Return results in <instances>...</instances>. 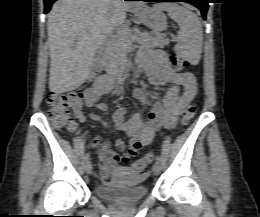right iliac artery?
<instances>
[{"mask_svg": "<svg viewBox=\"0 0 260 217\" xmlns=\"http://www.w3.org/2000/svg\"><path fill=\"white\" fill-rule=\"evenodd\" d=\"M89 158H90V154H89V153H87V154L85 155V157H84V159H85V162H88V161H89Z\"/></svg>", "mask_w": 260, "mask_h": 217, "instance_id": "obj_1", "label": "right iliac artery"}]
</instances>
